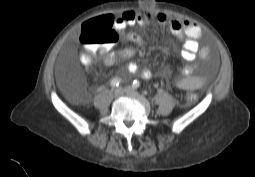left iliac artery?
<instances>
[{
  "mask_svg": "<svg viewBox=\"0 0 255 177\" xmlns=\"http://www.w3.org/2000/svg\"><path fill=\"white\" fill-rule=\"evenodd\" d=\"M132 87H133L134 89L139 88V87H140V83H139V81L134 80V81H133V84H132Z\"/></svg>",
  "mask_w": 255,
  "mask_h": 177,
  "instance_id": "left-iliac-artery-1",
  "label": "left iliac artery"
}]
</instances>
